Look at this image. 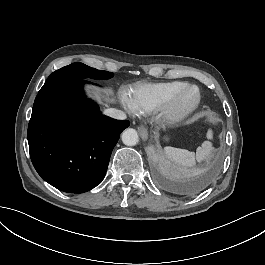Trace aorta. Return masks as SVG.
I'll use <instances>...</instances> for the list:
<instances>
[{
    "label": "aorta",
    "mask_w": 265,
    "mask_h": 265,
    "mask_svg": "<svg viewBox=\"0 0 265 265\" xmlns=\"http://www.w3.org/2000/svg\"><path fill=\"white\" fill-rule=\"evenodd\" d=\"M121 138H122L123 144L126 146H135L139 142L137 131L132 128L126 129L122 133Z\"/></svg>",
    "instance_id": "aorta-1"
}]
</instances>
